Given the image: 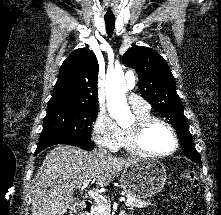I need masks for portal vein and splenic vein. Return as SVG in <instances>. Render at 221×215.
Returning <instances> with one entry per match:
<instances>
[{"mask_svg":"<svg viewBox=\"0 0 221 215\" xmlns=\"http://www.w3.org/2000/svg\"><path fill=\"white\" fill-rule=\"evenodd\" d=\"M87 187H88V185H84V186H82L81 190L83 191V190H85ZM87 193H88V195H89L90 197H92V198H93L94 200H96L98 203L101 202V201L107 202V200H106L102 195H100L98 192H96V191L89 190ZM119 201L124 202V201H126V199H125L124 197H121V198L119 199ZM127 201H129V199H127Z\"/></svg>","mask_w":221,"mask_h":215,"instance_id":"1","label":"portal vein and splenic vein"}]
</instances>
